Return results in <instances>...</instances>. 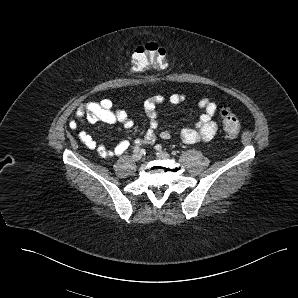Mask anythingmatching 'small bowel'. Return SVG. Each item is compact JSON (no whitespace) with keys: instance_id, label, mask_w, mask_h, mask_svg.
I'll return each mask as SVG.
<instances>
[{"instance_id":"obj_1","label":"small bowel","mask_w":298,"mask_h":298,"mask_svg":"<svg viewBox=\"0 0 298 298\" xmlns=\"http://www.w3.org/2000/svg\"><path fill=\"white\" fill-rule=\"evenodd\" d=\"M185 101V96L180 93H174L169 96L156 95L144 101L143 108L149 118V126L142 139H136L135 144H152L158 138L169 140L171 133L162 131L159 135L156 130L158 128V118L156 108L168 102L173 105L180 104ZM198 107L203 110L196 122L195 128H185L181 131L180 137L184 143L194 144L200 141H210L217 132V124L214 117L217 111L215 102L208 98H203L198 102ZM85 121L90 123L104 122L107 124H122L124 128L130 129L134 125L133 119L124 110H114L113 103L110 99H102L99 102H90L81 105L75 112L74 118L70 121L72 129H76ZM79 140L90 150L96 151L101 157H114L123 154L130 146V142L126 139L120 140L113 148H107L102 144H98L93 137L85 131L78 133Z\"/></svg>"}]
</instances>
